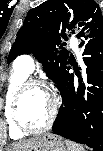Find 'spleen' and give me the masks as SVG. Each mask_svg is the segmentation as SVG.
<instances>
[{
    "mask_svg": "<svg viewBox=\"0 0 103 151\" xmlns=\"http://www.w3.org/2000/svg\"><path fill=\"white\" fill-rule=\"evenodd\" d=\"M65 143L67 145L68 151H85L83 146H81L75 142L66 140Z\"/></svg>",
    "mask_w": 103,
    "mask_h": 151,
    "instance_id": "1",
    "label": "spleen"
}]
</instances>
